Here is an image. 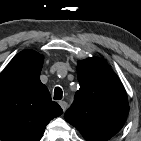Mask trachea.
Returning <instances> with one entry per match:
<instances>
[{
  "label": "trachea",
  "mask_w": 141,
  "mask_h": 141,
  "mask_svg": "<svg viewBox=\"0 0 141 141\" xmlns=\"http://www.w3.org/2000/svg\"><path fill=\"white\" fill-rule=\"evenodd\" d=\"M62 89L60 87H56L54 90V100L62 99Z\"/></svg>",
  "instance_id": "obj_1"
}]
</instances>
